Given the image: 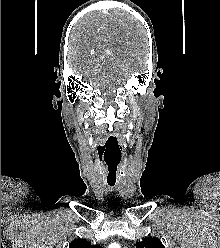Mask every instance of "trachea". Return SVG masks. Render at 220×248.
Instances as JSON below:
<instances>
[{
    "mask_svg": "<svg viewBox=\"0 0 220 248\" xmlns=\"http://www.w3.org/2000/svg\"><path fill=\"white\" fill-rule=\"evenodd\" d=\"M109 185H110V186H114V184H110V183H109Z\"/></svg>",
    "mask_w": 220,
    "mask_h": 248,
    "instance_id": "trachea-1",
    "label": "trachea"
}]
</instances>
